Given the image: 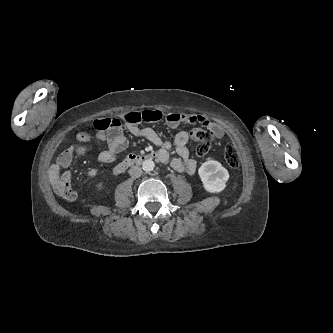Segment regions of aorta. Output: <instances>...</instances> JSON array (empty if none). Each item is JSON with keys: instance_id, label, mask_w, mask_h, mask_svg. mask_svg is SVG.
Masks as SVG:
<instances>
[{"instance_id": "obj_1", "label": "aorta", "mask_w": 333, "mask_h": 333, "mask_svg": "<svg viewBox=\"0 0 333 333\" xmlns=\"http://www.w3.org/2000/svg\"><path fill=\"white\" fill-rule=\"evenodd\" d=\"M154 167H155V164L151 159H146L142 163V168L146 172L152 171L154 169Z\"/></svg>"}]
</instances>
